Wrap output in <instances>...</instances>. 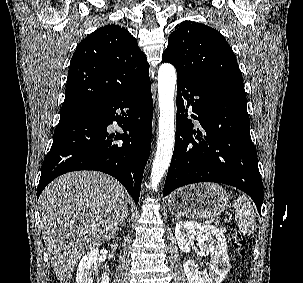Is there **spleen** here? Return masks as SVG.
Instances as JSON below:
<instances>
[{
    "mask_svg": "<svg viewBox=\"0 0 303 283\" xmlns=\"http://www.w3.org/2000/svg\"><path fill=\"white\" fill-rule=\"evenodd\" d=\"M233 208L240 232L244 235L253 234L256 228V215L249 199L246 196H239Z\"/></svg>",
    "mask_w": 303,
    "mask_h": 283,
    "instance_id": "spleen-1",
    "label": "spleen"
}]
</instances>
